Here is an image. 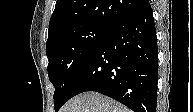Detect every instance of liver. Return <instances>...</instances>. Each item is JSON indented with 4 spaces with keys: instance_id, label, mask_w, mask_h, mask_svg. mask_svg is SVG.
I'll list each match as a JSON object with an SVG mask.
<instances>
[{
    "instance_id": "obj_1",
    "label": "liver",
    "mask_w": 193,
    "mask_h": 112,
    "mask_svg": "<svg viewBox=\"0 0 193 112\" xmlns=\"http://www.w3.org/2000/svg\"><path fill=\"white\" fill-rule=\"evenodd\" d=\"M61 112H130L113 99L97 92H86L70 99Z\"/></svg>"
}]
</instances>
